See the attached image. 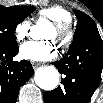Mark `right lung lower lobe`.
<instances>
[{
    "label": "right lung lower lobe",
    "mask_w": 103,
    "mask_h": 103,
    "mask_svg": "<svg viewBox=\"0 0 103 103\" xmlns=\"http://www.w3.org/2000/svg\"><path fill=\"white\" fill-rule=\"evenodd\" d=\"M17 52L18 48L0 49V103H15L21 85L33 75L30 62L26 60L12 61Z\"/></svg>",
    "instance_id": "right-lung-lower-lobe-1"
}]
</instances>
